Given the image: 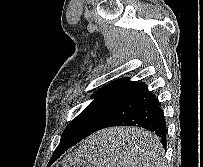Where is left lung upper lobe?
<instances>
[{"mask_svg":"<svg viewBox=\"0 0 203 167\" xmlns=\"http://www.w3.org/2000/svg\"><path fill=\"white\" fill-rule=\"evenodd\" d=\"M132 83L128 78H123L96 91L92 95L94 100L68 124L61 139L75 134H91L108 116Z\"/></svg>","mask_w":203,"mask_h":167,"instance_id":"5c2ea615","label":"left lung upper lobe"}]
</instances>
